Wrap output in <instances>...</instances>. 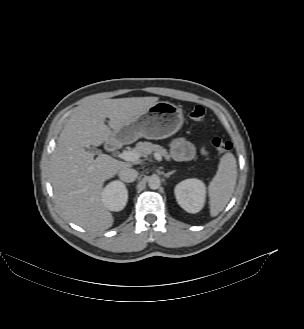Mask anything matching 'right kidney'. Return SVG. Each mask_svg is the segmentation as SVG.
<instances>
[{
	"instance_id": "ca27d5eb",
	"label": "right kidney",
	"mask_w": 304,
	"mask_h": 329,
	"mask_svg": "<svg viewBox=\"0 0 304 329\" xmlns=\"http://www.w3.org/2000/svg\"><path fill=\"white\" fill-rule=\"evenodd\" d=\"M101 198L108 210L120 211L127 203L128 191L124 183L112 181L102 190Z\"/></svg>"
}]
</instances>
